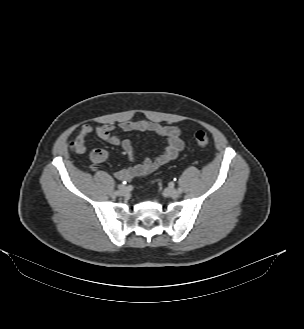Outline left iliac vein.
<instances>
[{
    "mask_svg": "<svg viewBox=\"0 0 304 329\" xmlns=\"http://www.w3.org/2000/svg\"><path fill=\"white\" fill-rule=\"evenodd\" d=\"M164 195L166 197H170V198H174L175 199V198L179 197L180 193L175 188H166L164 190Z\"/></svg>",
    "mask_w": 304,
    "mask_h": 329,
    "instance_id": "4c4485c4",
    "label": "left iliac vein"
}]
</instances>
